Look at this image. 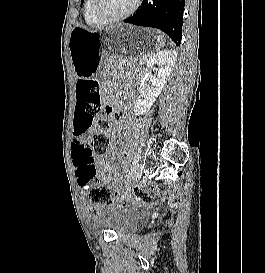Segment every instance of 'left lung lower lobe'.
<instances>
[{
  "label": "left lung lower lobe",
  "mask_w": 265,
  "mask_h": 273,
  "mask_svg": "<svg viewBox=\"0 0 265 273\" xmlns=\"http://www.w3.org/2000/svg\"><path fill=\"white\" fill-rule=\"evenodd\" d=\"M184 6L185 0H144L137 12L124 22L160 29L179 46Z\"/></svg>",
  "instance_id": "1"
}]
</instances>
